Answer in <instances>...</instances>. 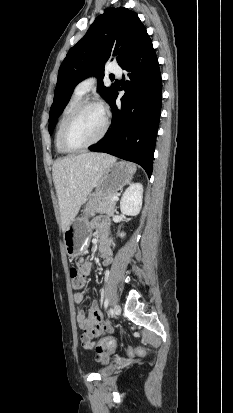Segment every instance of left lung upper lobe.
Returning a JSON list of instances; mask_svg holds the SVG:
<instances>
[{
  "label": "left lung upper lobe",
  "instance_id": "obj_1",
  "mask_svg": "<svg viewBox=\"0 0 233 413\" xmlns=\"http://www.w3.org/2000/svg\"><path fill=\"white\" fill-rule=\"evenodd\" d=\"M147 35L138 15L124 7L107 8L90 26L86 35L66 55L58 71L54 101L49 114V133L66 106L75 86L90 75L98 76V86L109 101L114 87L103 86L104 64L111 51L121 65Z\"/></svg>",
  "mask_w": 233,
  "mask_h": 413
}]
</instances>
